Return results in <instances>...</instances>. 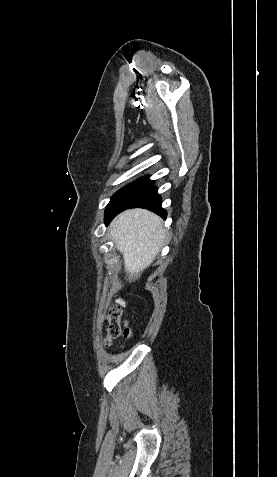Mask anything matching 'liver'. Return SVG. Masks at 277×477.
I'll return each mask as SVG.
<instances>
[{
	"label": "liver",
	"mask_w": 277,
	"mask_h": 477,
	"mask_svg": "<svg viewBox=\"0 0 277 477\" xmlns=\"http://www.w3.org/2000/svg\"><path fill=\"white\" fill-rule=\"evenodd\" d=\"M111 239L123 255L125 272L129 281L140 276L150 266L163 245V221L145 209H130L119 214L110 225ZM123 307L122 299L116 300Z\"/></svg>",
	"instance_id": "liver-1"
}]
</instances>
